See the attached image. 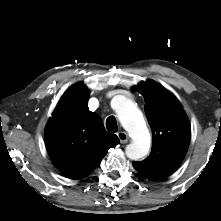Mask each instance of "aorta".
Segmentation results:
<instances>
[{"mask_svg": "<svg viewBox=\"0 0 221 221\" xmlns=\"http://www.w3.org/2000/svg\"><path fill=\"white\" fill-rule=\"evenodd\" d=\"M115 110L121 125L132 138V142L125 149L127 157L132 160H138L146 156L149 152L151 141L142 112L133 101L125 97L119 98Z\"/></svg>", "mask_w": 221, "mask_h": 221, "instance_id": "1", "label": "aorta"}]
</instances>
